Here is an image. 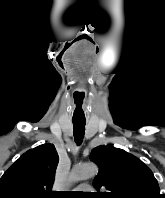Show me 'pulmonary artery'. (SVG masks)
Here are the masks:
<instances>
[{"label": "pulmonary artery", "mask_w": 165, "mask_h": 198, "mask_svg": "<svg viewBox=\"0 0 165 198\" xmlns=\"http://www.w3.org/2000/svg\"><path fill=\"white\" fill-rule=\"evenodd\" d=\"M89 187L87 185H80L76 188V190H87Z\"/></svg>", "instance_id": "e3ab8cb5"}]
</instances>
